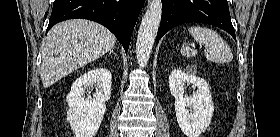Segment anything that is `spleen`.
<instances>
[{
    "mask_svg": "<svg viewBox=\"0 0 280 137\" xmlns=\"http://www.w3.org/2000/svg\"><path fill=\"white\" fill-rule=\"evenodd\" d=\"M188 31L196 42L205 47V56L210 61L215 63H229L233 60L230 47L216 31L201 26H192ZM180 52L185 57H194L197 55V51L188 46H183Z\"/></svg>",
    "mask_w": 280,
    "mask_h": 137,
    "instance_id": "3e777b00",
    "label": "spleen"
}]
</instances>
